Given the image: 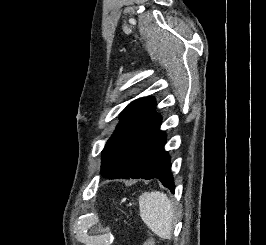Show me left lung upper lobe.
I'll return each mask as SVG.
<instances>
[{"instance_id":"obj_1","label":"left lung upper lobe","mask_w":266,"mask_h":245,"mask_svg":"<svg viewBox=\"0 0 266 245\" xmlns=\"http://www.w3.org/2000/svg\"><path fill=\"white\" fill-rule=\"evenodd\" d=\"M155 105L152 97H146L133 101L122 111L120 123L102 152V176L112 178L129 170L141 141L161 122Z\"/></svg>"}]
</instances>
